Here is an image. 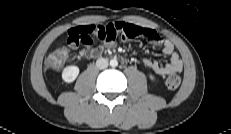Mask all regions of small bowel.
Wrapping results in <instances>:
<instances>
[{
	"instance_id": "1",
	"label": "small bowel",
	"mask_w": 231,
	"mask_h": 134,
	"mask_svg": "<svg viewBox=\"0 0 231 134\" xmlns=\"http://www.w3.org/2000/svg\"><path fill=\"white\" fill-rule=\"evenodd\" d=\"M118 35H121L124 40L143 37L153 44L162 46L163 52L170 58L168 63L160 65L153 59H144L145 66L157 75L166 76L182 71V60L170 40L162 38L153 29L127 22L117 21L105 25L90 24L72 27L68 30L67 44L73 50L77 49L81 44L84 45L85 48L80 51V56L90 58L99 55L101 52L100 48H91L94 38L101 40L105 48L112 49L116 45Z\"/></svg>"
}]
</instances>
